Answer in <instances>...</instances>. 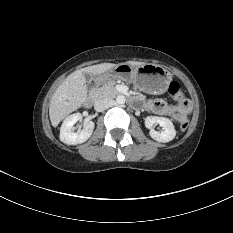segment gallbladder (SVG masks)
Returning a JSON list of instances; mask_svg holds the SVG:
<instances>
[{"label":"gallbladder","instance_id":"1","mask_svg":"<svg viewBox=\"0 0 233 233\" xmlns=\"http://www.w3.org/2000/svg\"><path fill=\"white\" fill-rule=\"evenodd\" d=\"M84 76H85V79H86V81H87V83H88V85H89V84H90V81H91L92 76H91L90 74H88V73H86Z\"/></svg>","mask_w":233,"mask_h":233}]
</instances>
